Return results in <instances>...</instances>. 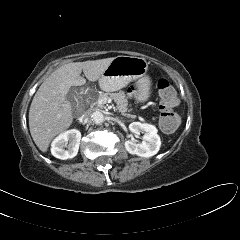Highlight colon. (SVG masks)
Returning <instances> with one entry per match:
<instances>
[{"label": "colon", "instance_id": "colon-1", "mask_svg": "<svg viewBox=\"0 0 240 240\" xmlns=\"http://www.w3.org/2000/svg\"><path fill=\"white\" fill-rule=\"evenodd\" d=\"M157 90L160 98L161 115L159 119L160 128L164 132L174 131L180 124V117L174 111L178 102L176 90L166 79L157 82Z\"/></svg>", "mask_w": 240, "mask_h": 240}]
</instances>
